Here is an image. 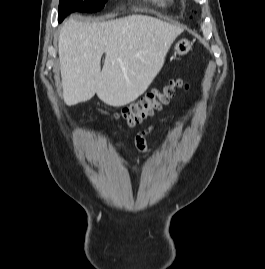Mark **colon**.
<instances>
[{
    "mask_svg": "<svg viewBox=\"0 0 265 269\" xmlns=\"http://www.w3.org/2000/svg\"><path fill=\"white\" fill-rule=\"evenodd\" d=\"M179 86H181L180 81H171L161 88L153 89L136 103L123 108L115 116L125 120L130 126L140 124L166 105L173 97L175 88Z\"/></svg>",
    "mask_w": 265,
    "mask_h": 269,
    "instance_id": "obj_1",
    "label": "colon"
}]
</instances>
